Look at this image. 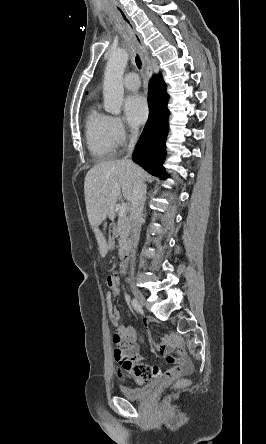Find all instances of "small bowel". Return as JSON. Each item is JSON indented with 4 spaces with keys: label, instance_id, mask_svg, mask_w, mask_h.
<instances>
[{
    "label": "small bowel",
    "instance_id": "c3829d8e",
    "mask_svg": "<svg viewBox=\"0 0 266 444\" xmlns=\"http://www.w3.org/2000/svg\"><path fill=\"white\" fill-rule=\"evenodd\" d=\"M107 285L111 289L118 292L120 278L117 273L113 272L107 277ZM111 322L115 326L116 331L113 335V342L116 344L114 350V358L116 360L120 374H126L137 385L158 380L167 385L182 375L191 372V362L180 347L179 340L175 336H166L162 339L158 346L162 353L167 355V361L174 364L170 371H164L156 365H147L144 363L143 357L138 354L140 341H144L142 336H137L135 330L122 323L121 315L118 312L111 317Z\"/></svg>",
    "mask_w": 266,
    "mask_h": 444
}]
</instances>
